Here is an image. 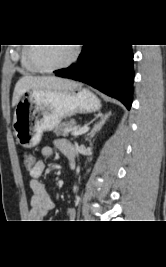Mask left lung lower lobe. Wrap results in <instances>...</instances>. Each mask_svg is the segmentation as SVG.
Here are the masks:
<instances>
[{"instance_id": "left-lung-lower-lobe-1", "label": "left lung lower lobe", "mask_w": 166, "mask_h": 267, "mask_svg": "<svg viewBox=\"0 0 166 267\" xmlns=\"http://www.w3.org/2000/svg\"><path fill=\"white\" fill-rule=\"evenodd\" d=\"M79 59L54 73L91 85L130 109L134 80L131 45H84Z\"/></svg>"}]
</instances>
